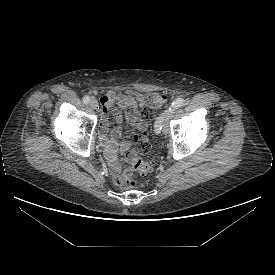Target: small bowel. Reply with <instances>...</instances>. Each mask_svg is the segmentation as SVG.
I'll use <instances>...</instances> for the list:
<instances>
[{
  "mask_svg": "<svg viewBox=\"0 0 275 275\" xmlns=\"http://www.w3.org/2000/svg\"><path fill=\"white\" fill-rule=\"evenodd\" d=\"M143 95L134 90H127L125 92H107L101 98L102 104V118L100 126V139L104 146L106 157L109 164L110 173L117 184H121L122 181L127 179L129 170L125 169L121 172V167L117 160V140L121 136V129L119 127L111 128L110 137L107 135L109 128L110 118L113 117L118 122L123 119L138 124L143 131L146 126L142 122V116L140 113V107L143 106ZM129 144L122 142L120 144V151L127 152ZM134 155L127 152L126 159L131 161Z\"/></svg>",
  "mask_w": 275,
  "mask_h": 275,
  "instance_id": "obj_1",
  "label": "small bowel"
}]
</instances>
